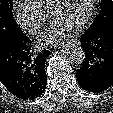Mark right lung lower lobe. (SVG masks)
Listing matches in <instances>:
<instances>
[{
	"mask_svg": "<svg viewBox=\"0 0 113 113\" xmlns=\"http://www.w3.org/2000/svg\"><path fill=\"white\" fill-rule=\"evenodd\" d=\"M49 51L31 50L30 39L23 33L0 43V81L16 97L34 100L45 90V62Z\"/></svg>",
	"mask_w": 113,
	"mask_h": 113,
	"instance_id": "right-lung-lower-lobe-1",
	"label": "right lung lower lobe"
}]
</instances>
